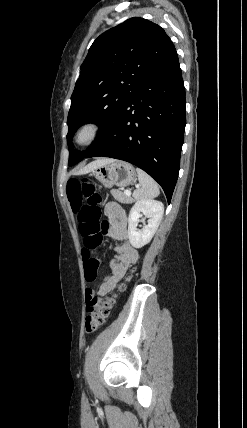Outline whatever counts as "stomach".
<instances>
[{
  "label": "stomach",
  "instance_id": "obj_1",
  "mask_svg": "<svg viewBox=\"0 0 247 428\" xmlns=\"http://www.w3.org/2000/svg\"><path fill=\"white\" fill-rule=\"evenodd\" d=\"M92 174L106 188H111L114 185L126 187L136 179L134 167L120 160L102 165L94 169Z\"/></svg>",
  "mask_w": 247,
  "mask_h": 428
}]
</instances>
